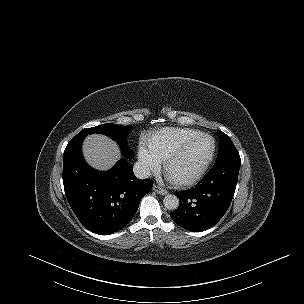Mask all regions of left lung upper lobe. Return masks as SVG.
I'll list each match as a JSON object with an SVG mask.
<instances>
[{"mask_svg":"<svg viewBox=\"0 0 304 304\" xmlns=\"http://www.w3.org/2000/svg\"><path fill=\"white\" fill-rule=\"evenodd\" d=\"M217 133L219 136L220 147L215 165L232 158H240L239 153L230 137L220 130H218Z\"/></svg>","mask_w":304,"mask_h":304,"instance_id":"obj_1","label":"left lung upper lobe"}]
</instances>
